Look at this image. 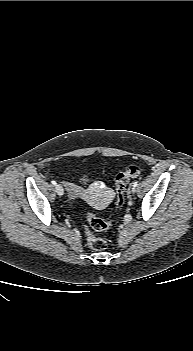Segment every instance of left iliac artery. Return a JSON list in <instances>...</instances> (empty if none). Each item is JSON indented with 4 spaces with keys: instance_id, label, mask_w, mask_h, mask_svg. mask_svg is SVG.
<instances>
[{
    "instance_id": "obj_1",
    "label": "left iliac artery",
    "mask_w": 193,
    "mask_h": 351,
    "mask_svg": "<svg viewBox=\"0 0 193 351\" xmlns=\"http://www.w3.org/2000/svg\"><path fill=\"white\" fill-rule=\"evenodd\" d=\"M138 185V181L133 182V186L136 187Z\"/></svg>"
}]
</instances>
